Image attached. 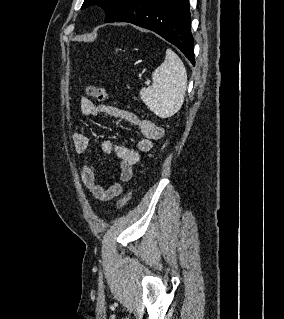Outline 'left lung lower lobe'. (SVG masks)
Masks as SVG:
<instances>
[{"label":"left lung lower lobe","instance_id":"0a47b994","mask_svg":"<svg viewBox=\"0 0 284 319\" xmlns=\"http://www.w3.org/2000/svg\"><path fill=\"white\" fill-rule=\"evenodd\" d=\"M107 22H129L151 30L195 65L188 0H126Z\"/></svg>","mask_w":284,"mask_h":319}]
</instances>
